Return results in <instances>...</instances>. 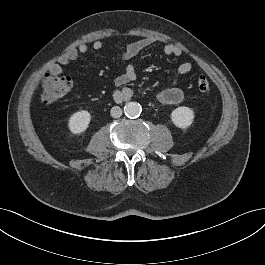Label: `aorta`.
<instances>
[{"mask_svg":"<svg viewBox=\"0 0 265 265\" xmlns=\"http://www.w3.org/2000/svg\"><path fill=\"white\" fill-rule=\"evenodd\" d=\"M142 107L137 102H129L124 107L125 115L129 118H136L141 114Z\"/></svg>","mask_w":265,"mask_h":265,"instance_id":"1","label":"aorta"}]
</instances>
